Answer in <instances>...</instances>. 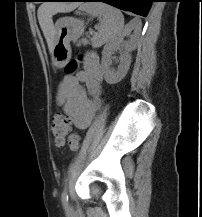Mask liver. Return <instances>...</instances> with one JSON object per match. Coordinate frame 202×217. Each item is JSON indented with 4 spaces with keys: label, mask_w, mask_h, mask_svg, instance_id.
I'll return each mask as SVG.
<instances>
[{
    "label": "liver",
    "mask_w": 202,
    "mask_h": 217,
    "mask_svg": "<svg viewBox=\"0 0 202 217\" xmlns=\"http://www.w3.org/2000/svg\"><path fill=\"white\" fill-rule=\"evenodd\" d=\"M78 3L45 2L38 8V20L46 38L49 52L52 53L55 29L52 16L58 12L67 13L78 7Z\"/></svg>",
    "instance_id": "1"
}]
</instances>
